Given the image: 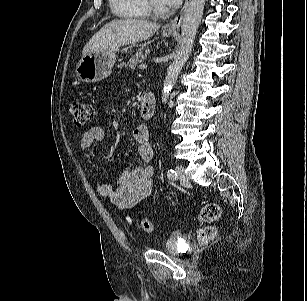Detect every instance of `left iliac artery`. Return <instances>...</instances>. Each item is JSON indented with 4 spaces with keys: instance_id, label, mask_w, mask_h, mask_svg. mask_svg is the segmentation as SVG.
<instances>
[{
    "instance_id": "1",
    "label": "left iliac artery",
    "mask_w": 307,
    "mask_h": 301,
    "mask_svg": "<svg viewBox=\"0 0 307 301\" xmlns=\"http://www.w3.org/2000/svg\"><path fill=\"white\" fill-rule=\"evenodd\" d=\"M167 177L171 180L177 179V173L173 169H169L167 172Z\"/></svg>"
}]
</instances>
